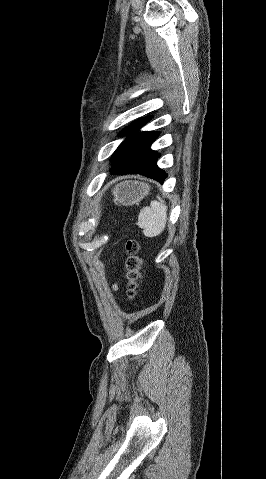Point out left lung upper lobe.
Here are the masks:
<instances>
[{
    "label": "left lung upper lobe",
    "mask_w": 266,
    "mask_h": 479,
    "mask_svg": "<svg viewBox=\"0 0 266 479\" xmlns=\"http://www.w3.org/2000/svg\"><path fill=\"white\" fill-rule=\"evenodd\" d=\"M149 120L150 116L140 118L122 131L124 134L133 132V135H129L112 155L111 160L113 161V165L110 170L111 173L116 170L139 166V164H142L144 161L154 159L157 156V152L151 150L150 146L156 140L159 133L154 131L136 132V130L141 128Z\"/></svg>",
    "instance_id": "5c2ea615"
}]
</instances>
